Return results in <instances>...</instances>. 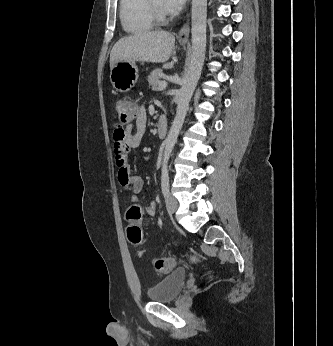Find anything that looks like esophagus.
I'll list each match as a JSON object with an SVG mask.
<instances>
[{
	"label": "esophagus",
	"mask_w": 333,
	"mask_h": 346,
	"mask_svg": "<svg viewBox=\"0 0 333 346\" xmlns=\"http://www.w3.org/2000/svg\"><path fill=\"white\" fill-rule=\"evenodd\" d=\"M190 34V25H189V19L185 22L183 27L180 29L178 34V40L181 42H187L189 39Z\"/></svg>",
	"instance_id": "1"
}]
</instances>
